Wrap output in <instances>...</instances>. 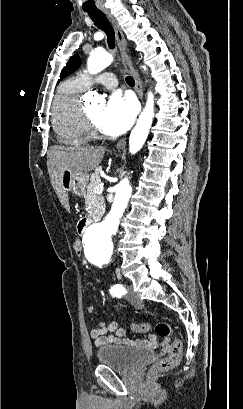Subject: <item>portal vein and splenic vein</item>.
<instances>
[{"label": "portal vein and splenic vein", "mask_w": 243, "mask_h": 409, "mask_svg": "<svg viewBox=\"0 0 243 409\" xmlns=\"http://www.w3.org/2000/svg\"><path fill=\"white\" fill-rule=\"evenodd\" d=\"M103 190H104L103 184H99V185L94 189V193L102 194Z\"/></svg>", "instance_id": "18ae733b"}]
</instances>
